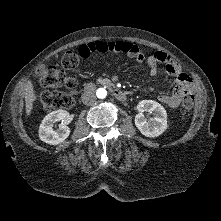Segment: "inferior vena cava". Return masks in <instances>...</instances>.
Here are the masks:
<instances>
[{"label":"inferior vena cava","mask_w":221,"mask_h":221,"mask_svg":"<svg viewBox=\"0 0 221 221\" xmlns=\"http://www.w3.org/2000/svg\"><path fill=\"white\" fill-rule=\"evenodd\" d=\"M82 102L85 105H93L96 102V96L93 92H86L82 96Z\"/></svg>","instance_id":"obj_1"}]
</instances>
